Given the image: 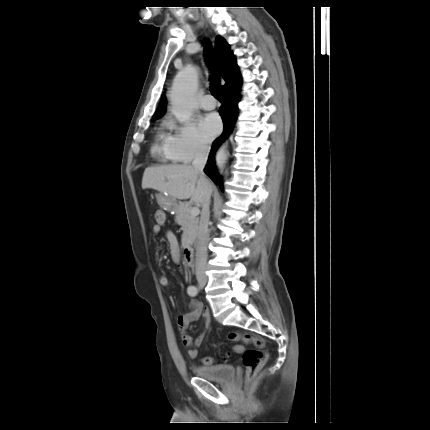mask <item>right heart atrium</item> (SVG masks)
I'll return each mask as SVG.
<instances>
[{"label":"right heart atrium","instance_id":"d8ad5b80","mask_svg":"<svg viewBox=\"0 0 430 430\" xmlns=\"http://www.w3.org/2000/svg\"><path fill=\"white\" fill-rule=\"evenodd\" d=\"M170 133L167 136V150L175 162L188 163L191 160L205 156L209 145L204 141L193 123H169Z\"/></svg>","mask_w":430,"mask_h":430}]
</instances>
